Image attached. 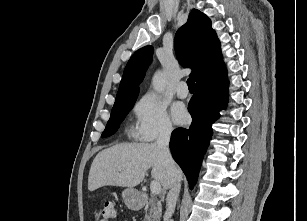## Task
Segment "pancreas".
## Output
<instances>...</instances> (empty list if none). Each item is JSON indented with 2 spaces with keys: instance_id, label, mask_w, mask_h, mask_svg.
Listing matches in <instances>:
<instances>
[{
  "instance_id": "obj_1",
  "label": "pancreas",
  "mask_w": 307,
  "mask_h": 221,
  "mask_svg": "<svg viewBox=\"0 0 307 221\" xmlns=\"http://www.w3.org/2000/svg\"><path fill=\"white\" fill-rule=\"evenodd\" d=\"M145 217L143 221H160L162 205L160 201L149 199L146 201Z\"/></svg>"
}]
</instances>
